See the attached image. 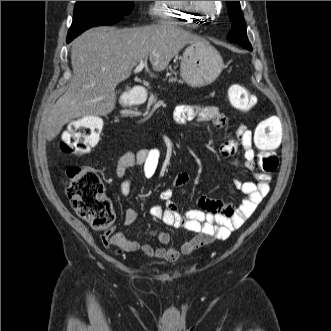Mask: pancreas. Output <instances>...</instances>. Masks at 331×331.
I'll return each mask as SVG.
<instances>
[{"label":"pancreas","instance_id":"cf45deb5","mask_svg":"<svg viewBox=\"0 0 331 331\" xmlns=\"http://www.w3.org/2000/svg\"><path fill=\"white\" fill-rule=\"evenodd\" d=\"M177 79L176 78H169V82H171V83H173V82H175ZM182 82V81H181ZM156 100H157V98H156V96H154V95H151V97H150V102L153 104V103H155L156 102Z\"/></svg>","mask_w":331,"mask_h":331}]
</instances>
